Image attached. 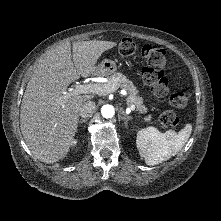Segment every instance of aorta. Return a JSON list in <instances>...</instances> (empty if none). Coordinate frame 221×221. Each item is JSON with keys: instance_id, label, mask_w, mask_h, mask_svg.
Wrapping results in <instances>:
<instances>
[{"instance_id": "obj_1", "label": "aorta", "mask_w": 221, "mask_h": 221, "mask_svg": "<svg viewBox=\"0 0 221 221\" xmlns=\"http://www.w3.org/2000/svg\"><path fill=\"white\" fill-rule=\"evenodd\" d=\"M101 114L104 118H112L115 114V109L112 105H103L101 108Z\"/></svg>"}]
</instances>
